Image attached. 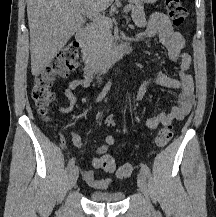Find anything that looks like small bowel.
I'll use <instances>...</instances> for the list:
<instances>
[{
    "label": "small bowel",
    "mask_w": 216,
    "mask_h": 217,
    "mask_svg": "<svg viewBox=\"0 0 216 217\" xmlns=\"http://www.w3.org/2000/svg\"><path fill=\"white\" fill-rule=\"evenodd\" d=\"M157 37L159 42L165 47L169 58L178 64V77H172L164 73H158L154 78L145 81L135 96V106L143 99L148 87L153 83H157L164 87L174 88L178 90L175 105L169 111H161L147 119V127L150 130L157 129L160 125H169L175 121L183 120L191 110L194 101V82L193 77L189 73L191 66V56L185 50V39L182 34L175 31L168 17L163 13H155L151 16L146 30L139 35L140 39H149ZM91 82V77L87 74L79 78L71 80L64 89L63 94L73 105L76 102L74 91L87 87ZM62 113L70 111V107L61 108ZM137 122V119H134ZM71 141L77 149L83 148V142L79 134L70 133ZM115 139L111 135H107L103 139L102 145L98 148V156L92 160L94 169H101L103 160L109 156L106 151L113 146ZM84 181L95 189L106 190L111 185L110 178H96L92 170L83 172Z\"/></svg>",
    "instance_id": "1"
}]
</instances>
